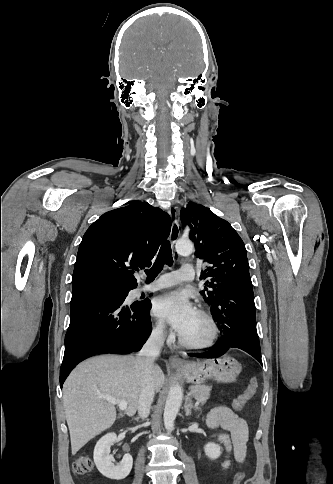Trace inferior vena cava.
Masks as SVG:
<instances>
[{
    "label": "inferior vena cava",
    "mask_w": 333,
    "mask_h": 484,
    "mask_svg": "<svg viewBox=\"0 0 333 484\" xmlns=\"http://www.w3.org/2000/svg\"><path fill=\"white\" fill-rule=\"evenodd\" d=\"M163 328H156L138 353L136 361L141 369V390L138 401V414L141 419L149 416L154 400V386L152 382V369L155 359L159 356L164 344Z\"/></svg>",
    "instance_id": "inferior-vena-cava-1"
}]
</instances>
